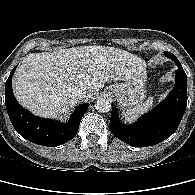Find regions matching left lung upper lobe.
Returning a JSON list of instances; mask_svg holds the SVG:
<instances>
[{"instance_id":"left-lung-upper-lobe-1","label":"left lung upper lobe","mask_w":195,"mask_h":195,"mask_svg":"<svg viewBox=\"0 0 195 195\" xmlns=\"http://www.w3.org/2000/svg\"><path fill=\"white\" fill-rule=\"evenodd\" d=\"M165 56L172 59V60H175L177 59L172 53L170 52H164Z\"/></svg>"}]
</instances>
